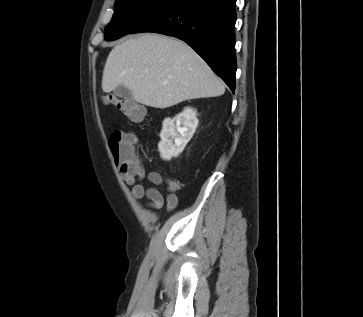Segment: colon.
Wrapping results in <instances>:
<instances>
[{"label": "colon", "mask_w": 363, "mask_h": 317, "mask_svg": "<svg viewBox=\"0 0 363 317\" xmlns=\"http://www.w3.org/2000/svg\"><path fill=\"white\" fill-rule=\"evenodd\" d=\"M106 103L115 105L117 109L130 121L139 123L144 119V108L132 99L106 93L103 95ZM136 138L133 134L122 130H115L108 138V148L117 165L127 169L138 167L141 162L135 153Z\"/></svg>", "instance_id": "5ec220e1"}]
</instances>
